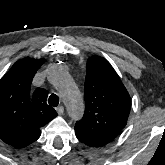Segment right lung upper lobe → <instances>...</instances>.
Here are the masks:
<instances>
[{
  "instance_id": "1",
  "label": "right lung upper lobe",
  "mask_w": 165,
  "mask_h": 165,
  "mask_svg": "<svg viewBox=\"0 0 165 165\" xmlns=\"http://www.w3.org/2000/svg\"><path fill=\"white\" fill-rule=\"evenodd\" d=\"M44 59L25 58L14 63L0 80V138L23 148L40 137V127L57 116L47 105V90L30 91L31 82Z\"/></svg>"
}]
</instances>
